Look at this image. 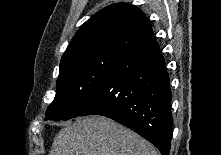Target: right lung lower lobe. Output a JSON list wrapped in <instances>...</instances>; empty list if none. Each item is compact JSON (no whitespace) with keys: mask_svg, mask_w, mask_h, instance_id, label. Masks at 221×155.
Returning <instances> with one entry per match:
<instances>
[{"mask_svg":"<svg viewBox=\"0 0 221 155\" xmlns=\"http://www.w3.org/2000/svg\"><path fill=\"white\" fill-rule=\"evenodd\" d=\"M171 97L165 61L151 37L121 59L79 116L114 119L151 142L161 155H169Z\"/></svg>","mask_w":221,"mask_h":155,"instance_id":"98d812e1","label":"right lung lower lobe"}]
</instances>
